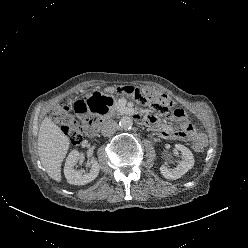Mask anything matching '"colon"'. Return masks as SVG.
<instances>
[{"label":"colon","instance_id":"obj_1","mask_svg":"<svg viewBox=\"0 0 248 248\" xmlns=\"http://www.w3.org/2000/svg\"><path fill=\"white\" fill-rule=\"evenodd\" d=\"M116 92L126 93L134 97L139 103L149 105L157 114L165 119H184L186 114L181 109H174L173 102L169 96L153 90H141L133 86H123L115 89ZM53 121L60 125L63 132L73 145L82 141L83 125L76 120L70 112V107L65 104L58 105L52 113ZM206 142L202 138H196L192 142L195 152H202Z\"/></svg>","mask_w":248,"mask_h":248}]
</instances>
